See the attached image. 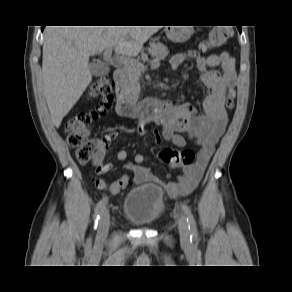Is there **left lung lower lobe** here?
<instances>
[{
	"mask_svg": "<svg viewBox=\"0 0 292 292\" xmlns=\"http://www.w3.org/2000/svg\"><path fill=\"white\" fill-rule=\"evenodd\" d=\"M238 30L241 32V27H238Z\"/></svg>",
	"mask_w": 292,
	"mask_h": 292,
	"instance_id": "obj_1",
	"label": "left lung lower lobe"
}]
</instances>
